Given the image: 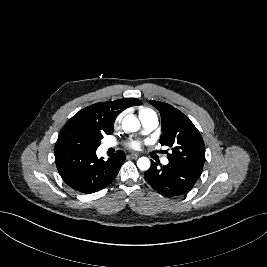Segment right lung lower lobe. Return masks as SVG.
I'll return each mask as SVG.
<instances>
[{
  "label": "right lung lower lobe",
  "mask_w": 267,
  "mask_h": 267,
  "mask_svg": "<svg viewBox=\"0 0 267 267\" xmlns=\"http://www.w3.org/2000/svg\"><path fill=\"white\" fill-rule=\"evenodd\" d=\"M126 155L118 150L107 161L95 151L57 152L55 163L62 179L74 190L94 193L108 186L118 174Z\"/></svg>",
  "instance_id": "obj_1"
}]
</instances>
